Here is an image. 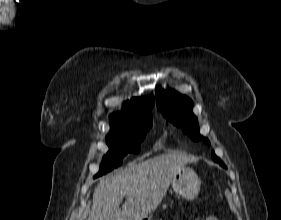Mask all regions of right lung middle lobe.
I'll return each mask as SVG.
<instances>
[{"label":"right lung middle lobe","mask_w":281,"mask_h":220,"mask_svg":"<svg viewBox=\"0 0 281 220\" xmlns=\"http://www.w3.org/2000/svg\"><path fill=\"white\" fill-rule=\"evenodd\" d=\"M151 126L152 116H148L111 128L106 137V143L110 151L103 157L100 170L94 177L101 176L121 165L123 157L128 153H138L140 144Z\"/></svg>","instance_id":"obj_1"}]
</instances>
